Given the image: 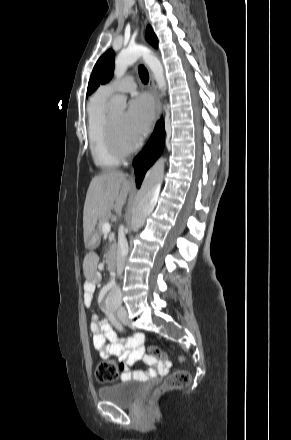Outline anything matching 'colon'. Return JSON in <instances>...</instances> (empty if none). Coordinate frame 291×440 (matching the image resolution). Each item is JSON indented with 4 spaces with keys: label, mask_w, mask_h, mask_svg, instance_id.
<instances>
[{
    "label": "colon",
    "mask_w": 291,
    "mask_h": 440,
    "mask_svg": "<svg viewBox=\"0 0 291 440\" xmlns=\"http://www.w3.org/2000/svg\"><path fill=\"white\" fill-rule=\"evenodd\" d=\"M147 357L150 358H166V355L156 347H151L148 351ZM180 361H184V357H179ZM95 376L99 382H112L118 377V368L112 360H107L100 363L95 370ZM191 375L187 370L174 371L166 380L164 385L155 391V395L163 390H176L189 384Z\"/></svg>",
    "instance_id": "5ec220e1"
}]
</instances>
